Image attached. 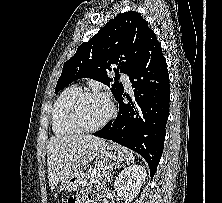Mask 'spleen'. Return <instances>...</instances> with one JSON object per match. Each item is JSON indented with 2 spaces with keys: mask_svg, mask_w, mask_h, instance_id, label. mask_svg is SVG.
<instances>
[{
  "mask_svg": "<svg viewBox=\"0 0 222 203\" xmlns=\"http://www.w3.org/2000/svg\"><path fill=\"white\" fill-rule=\"evenodd\" d=\"M126 161L127 162H133L134 161V156H133V152L126 150Z\"/></svg>",
  "mask_w": 222,
  "mask_h": 203,
  "instance_id": "spleen-1",
  "label": "spleen"
}]
</instances>
